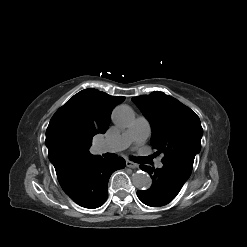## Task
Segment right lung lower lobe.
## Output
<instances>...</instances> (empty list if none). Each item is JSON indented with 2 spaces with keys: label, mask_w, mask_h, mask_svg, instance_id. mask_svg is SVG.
Returning a JSON list of instances; mask_svg holds the SVG:
<instances>
[{
  "label": "right lung lower lobe",
  "mask_w": 247,
  "mask_h": 247,
  "mask_svg": "<svg viewBox=\"0 0 247 247\" xmlns=\"http://www.w3.org/2000/svg\"><path fill=\"white\" fill-rule=\"evenodd\" d=\"M125 167V160L99 158L90 164L73 167L58 174L64 192L82 207L94 209L107 199L111 174Z\"/></svg>",
  "instance_id": "1"
}]
</instances>
